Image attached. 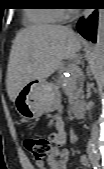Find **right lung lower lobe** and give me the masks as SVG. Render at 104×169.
Here are the masks:
<instances>
[{
	"label": "right lung lower lobe",
	"mask_w": 104,
	"mask_h": 169,
	"mask_svg": "<svg viewBox=\"0 0 104 169\" xmlns=\"http://www.w3.org/2000/svg\"><path fill=\"white\" fill-rule=\"evenodd\" d=\"M78 32L87 40L96 41L97 12H94L88 19H81L77 25Z\"/></svg>",
	"instance_id": "right-lung-lower-lobe-1"
}]
</instances>
